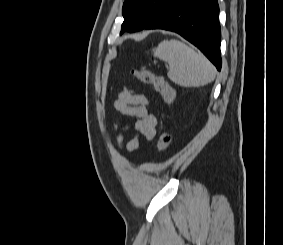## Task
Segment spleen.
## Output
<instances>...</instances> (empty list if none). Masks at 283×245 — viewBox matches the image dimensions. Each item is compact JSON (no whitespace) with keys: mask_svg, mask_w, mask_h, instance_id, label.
<instances>
[{"mask_svg":"<svg viewBox=\"0 0 283 245\" xmlns=\"http://www.w3.org/2000/svg\"><path fill=\"white\" fill-rule=\"evenodd\" d=\"M154 56L169 64V79L182 87H200L215 79L210 61L179 40L162 41L154 49Z\"/></svg>","mask_w":283,"mask_h":245,"instance_id":"3e777b00","label":"spleen"}]
</instances>
